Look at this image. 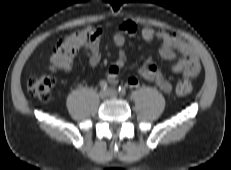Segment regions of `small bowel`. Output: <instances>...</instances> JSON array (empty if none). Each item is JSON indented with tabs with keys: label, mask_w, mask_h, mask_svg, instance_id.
<instances>
[{
	"label": "small bowel",
	"mask_w": 231,
	"mask_h": 170,
	"mask_svg": "<svg viewBox=\"0 0 231 170\" xmlns=\"http://www.w3.org/2000/svg\"><path fill=\"white\" fill-rule=\"evenodd\" d=\"M97 37L84 44V50L89 55V64L95 67L101 60L100 36L101 30H97ZM140 36L145 41L159 40L161 42L159 53L166 60H176L172 66L175 73H183L186 78L195 77L200 71V62L196 50L189 43L174 33L166 32L152 27L140 29L135 23L127 21L118 26L113 35V42L118 49L117 57L113 65L105 73L109 83L118 82L121 69L127 63V54L124 50L126 37ZM141 77L147 81L155 83L162 91L171 93L173 87L165 78L161 71L153 64L151 59L146 62L139 70ZM130 86L136 87L139 81L132 76L128 79Z\"/></svg>",
	"instance_id": "c3829d8e"
}]
</instances>
